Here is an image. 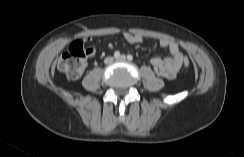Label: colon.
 <instances>
[{
  "label": "colon",
  "mask_w": 244,
  "mask_h": 157,
  "mask_svg": "<svg viewBox=\"0 0 244 157\" xmlns=\"http://www.w3.org/2000/svg\"><path fill=\"white\" fill-rule=\"evenodd\" d=\"M93 55V49L86 48L81 41H75L65 51L57 62L58 69L69 79H78L87 63V59ZM184 67L190 66V59L184 57Z\"/></svg>",
  "instance_id": "obj_1"
}]
</instances>
